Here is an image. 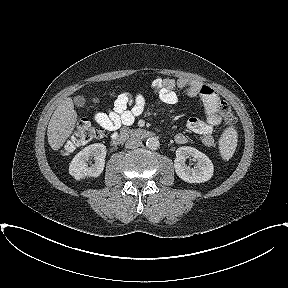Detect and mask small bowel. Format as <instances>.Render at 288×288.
<instances>
[{
    "instance_id": "obj_1",
    "label": "small bowel",
    "mask_w": 288,
    "mask_h": 288,
    "mask_svg": "<svg viewBox=\"0 0 288 288\" xmlns=\"http://www.w3.org/2000/svg\"><path fill=\"white\" fill-rule=\"evenodd\" d=\"M151 88L156 100L166 105H174L178 102L177 90L183 91L188 97H198L205 109V120L191 117L187 121V128L198 135L205 146H213L214 128L221 123L222 117L218 111L220 98L211 87L186 78L178 80L156 78L151 82ZM145 106L146 98L144 94L122 93L116 98L111 110L96 113L95 121L104 129L110 131L113 139L117 136L121 126H129L134 123L135 119L144 112ZM175 142L185 144L187 136L184 133H178L175 136Z\"/></svg>"
}]
</instances>
